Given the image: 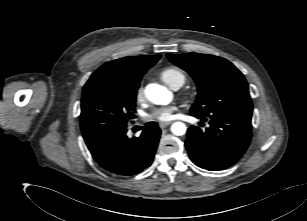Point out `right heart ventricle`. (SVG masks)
Segmentation results:
<instances>
[{"instance_id":"e07e8e85","label":"right heart ventricle","mask_w":307,"mask_h":221,"mask_svg":"<svg viewBox=\"0 0 307 221\" xmlns=\"http://www.w3.org/2000/svg\"><path fill=\"white\" fill-rule=\"evenodd\" d=\"M159 77L171 88L181 87L186 81L185 73L174 66L163 68L159 72Z\"/></svg>"}]
</instances>
